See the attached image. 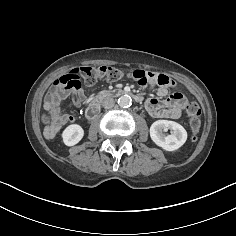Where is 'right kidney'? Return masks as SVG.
Returning <instances> with one entry per match:
<instances>
[{"mask_svg": "<svg viewBox=\"0 0 236 236\" xmlns=\"http://www.w3.org/2000/svg\"><path fill=\"white\" fill-rule=\"evenodd\" d=\"M84 136L83 128L78 124H72L66 127L62 133L63 142L67 146L77 144Z\"/></svg>", "mask_w": 236, "mask_h": 236, "instance_id": "ca27d5eb", "label": "right kidney"}]
</instances>
